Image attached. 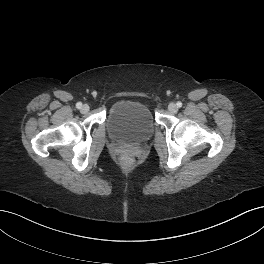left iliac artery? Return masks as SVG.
Listing matches in <instances>:
<instances>
[{"label": "left iliac artery", "mask_w": 264, "mask_h": 264, "mask_svg": "<svg viewBox=\"0 0 264 264\" xmlns=\"http://www.w3.org/2000/svg\"><path fill=\"white\" fill-rule=\"evenodd\" d=\"M176 105H177V107H181L182 106V103L180 102V101H178L177 103H176Z\"/></svg>", "instance_id": "44dca946"}]
</instances>
